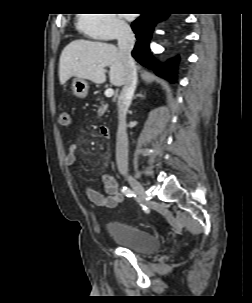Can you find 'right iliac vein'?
Masks as SVG:
<instances>
[{
	"instance_id": "right-iliac-vein-1",
	"label": "right iliac vein",
	"mask_w": 252,
	"mask_h": 303,
	"mask_svg": "<svg viewBox=\"0 0 252 303\" xmlns=\"http://www.w3.org/2000/svg\"><path fill=\"white\" fill-rule=\"evenodd\" d=\"M125 178L128 181V183L130 184V186L132 187V189L134 190V192L138 195L140 200L144 204H147L146 193H145V190H144V187L142 186V184L138 180H136L134 177H132L131 175L126 174Z\"/></svg>"
}]
</instances>
